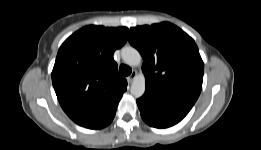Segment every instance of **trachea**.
Here are the masks:
<instances>
[{
    "label": "trachea",
    "mask_w": 261,
    "mask_h": 150,
    "mask_svg": "<svg viewBox=\"0 0 261 150\" xmlns=\"http://www.w3.org/2000/svg\"><path fill=\"white\" fill-rule=\"evenodd\" d=\"M119 71H120V73H121L122 75L128 76V75L131 74L132 69H131L129 66L122 64V65H120V67H119Z\"/></svg>",
    "instance_id": "1"
}]
</instances>
